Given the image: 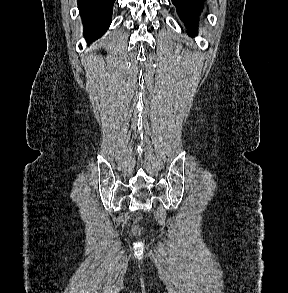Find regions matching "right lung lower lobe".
Segmentation results:
<instances>
[{
  "instance_id": "obj_1",
  "label": "right lung lower lobe",
  "mask_w": 288,
  "mask_h": 293,
  "mask_svg": "<svg viewBox=\"0 0 288 293\" xmlns=\"http://www.w3.org/2000/svg\"><path fill=\"white\" fill-rule=\"evenodd\" d=\"M85 26V38L91 42L100 37L111 23L115 0H77Z\"/></svg>"
}]
</instances>
